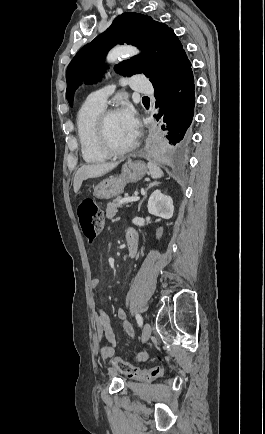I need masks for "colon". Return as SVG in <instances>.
Returning <instances> with one entry per match:
<instances>
[{
	"label": "colon",
	"instance_id": "obj_1",
	"mask_svg": "<svg viewBox=\"0 0 265 434\" xmlns=\"http://www.w3.org/2000/svg\"><path fill=\"white\" fill-rule=\"evenodd\" d=\"M76 213L85 240L87 242H93L99 236L103 224L104 213L102 209L94 200L85 199L76 205ZM130 363L129 360L122 362V358L119 355H116L111 361L112 365H117L120 371L130 378L137 375L147 381H151L160 377L164 372L161 367L146 370L138 368L137 364L131 366Z\"/></svg>",
	"mask_w": 265,
	"mask_h": 434
}]
</instances>
